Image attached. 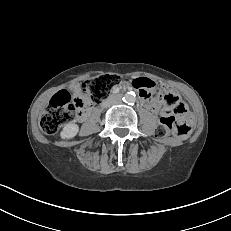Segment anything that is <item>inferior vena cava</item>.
<instances>
[{
  "mask_svg": "<svg viewBox=\"0 0 231 231\" xmlns=\"http://www.w3.org/2000/svg\"><path fill=\"white\" fill-rule=\"evenodd\" d=\"M115 102H119V101H112L111 99L110 100H107L103 103L104 107H108L110 105H112L113 103Z\"/></svg>",
  "mask_w": 231,
  "mask_h": 231,
  "instance_id": "obj_1",
  "label": "inferior vena cava"
}]
</instances>
